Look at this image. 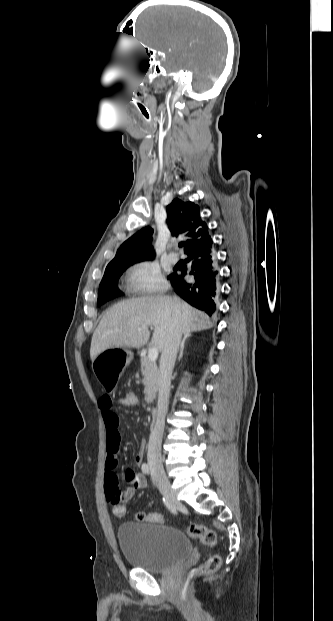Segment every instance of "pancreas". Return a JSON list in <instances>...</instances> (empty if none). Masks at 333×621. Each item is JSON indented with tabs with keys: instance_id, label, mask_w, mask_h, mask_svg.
I'll return each mask as SVG.
<instances>
[{
	"instance_id": "obj_1",
	"label": "pancreas",
	"mask_w": 333,
	"mask_h": 621,
	"mask_svg": "<svg viewBox=\"0 0 333 621\" xmlns=\"http://www.w3.org/2000/svg\"><path fill=\"white\" fill-rule=\"evenodd\" d=\"M141 372L144 376L145 401L150 403L156 397V392L159 387V371L156 363L144 356L141 358Z\"/></svg>"
}]
</instances>
